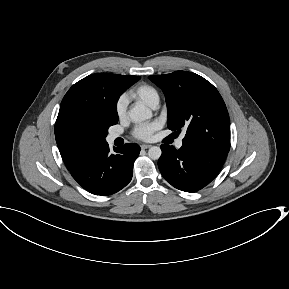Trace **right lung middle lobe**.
<instances>
[{
	"label": "right lung middle lobe",
	"instance_id": "right-lung-middle-lobe-1",
	"mask_svg": "<svg viewBox=\"0 0 289 289\" xmlns=\"http://www.w3.org/2000/svg\"><path fill=\"white\" fill-rule=\"evenodd\" d=\"M134 82L122 85L113 91L110 100L105 104V113L96 122L94 127H79L75 132V138L83 148L90 149L98 145L106 144L105 137L108 134V128L118 122L116 104L119 96Z\"/></svg>",
	"mask_w": 289,
	"mask_h": 289
}]
</instances>
